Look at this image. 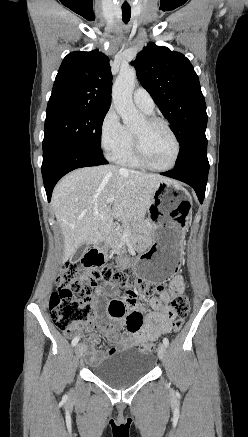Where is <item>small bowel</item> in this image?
Returning <instances> with one entry per match:
<instances>
[{
  "instance_id": "small-bowel-1",
  "label": "small bowel",
  "mask_w": 248,
  "mask_h": 437,
  "mask_svg": "<svg viewBox=\"0 0 248 437\" xmlns=\"http://www.w3.org/2000/svg\"><path fill=\"white\" fill-rule=\"evenodd\" d=\"M184 291V279L176 276L170 283L169 290L163 291L159 298L149 302L151 311L143 317L138 308L137 296L129 291L121 298V293L115 290V285L103 282L94 287L92 302L107 313L96 316L89 326L101 329L107 339L108 345L104 350H96L94 343L99 342V337L94 335L86 340L85 357L90 365H96L104 358L115 354L120 349L132 348L144 343L157 340L160 336L172 330V318L169 314L168 302L172 294ZM112 298L109 300V297ZM103 323H108L109 328L104 329ZM116 323H125L127 331L119 333ZM84 329L83 325H74L65 330L68 337L78 335ZM77 337V336H75Z\"/></svg>"
}]
</instances>
